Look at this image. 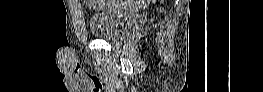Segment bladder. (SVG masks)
I'll list each match as a JSON object with an SVG mask.
<instances>
[{"instance_id": "obj_1", "label": "bladder", "mask_w": 263, "mask_h": 92, "mask_svg": "<svg viewBox=\"0 0 263 92\" xmlns=\"http://www.w3.org/2000/svg\"><path fill=\"white\" fill-rule=\"evenodd\" d=\"M136 18L133 9L104 6L91 18V33L99 39L116 40L132 28Z\"/></svg>"}]
</instances>
